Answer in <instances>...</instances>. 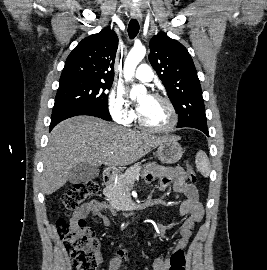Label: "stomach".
<instances>
[{
  "label": "stomach",
  "mask_w": 267,
  "mask_h": 270,
  "mask_svg": "<svg viewBox=\"0 0 267 270\" xmlns=\"http://www.w3.org/2000/svg\"><path fill=\"white\" fill-rule=\"evenodd\" d=\"M156 153L162 163L173 164L181 159L183 150L177 139L171 137L158 146Z\"/></svg>",
  "instance_id": "0dacf381"
}]
</instances>
